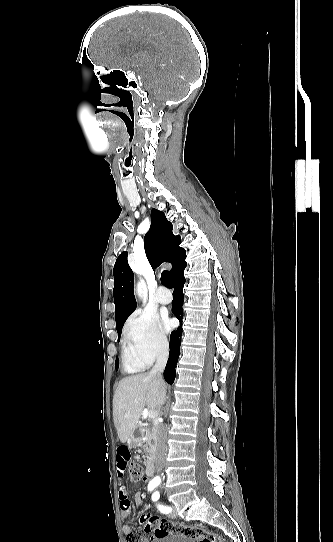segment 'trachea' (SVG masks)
Masks as SVG:
<instances>
[{"instance_id":"trachea-1","label":"trachea","mask_w":333,"mask_h":542,"mask_svg":"<svg viewBox=\"0 0 333 542\" xmlns=\"http://www.w3.org/2000/svg\"><path fill=\"white\" fill-rule=\"evenodd\" d=\"M161 283L168 288H172L171 277L167 270H164V272H162Z\"/></svg>"}]
</instances>
